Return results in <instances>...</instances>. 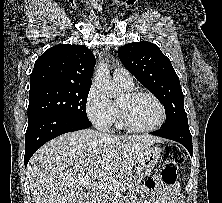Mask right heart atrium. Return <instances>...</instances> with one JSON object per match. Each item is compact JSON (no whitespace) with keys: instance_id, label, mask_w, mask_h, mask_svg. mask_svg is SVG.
<instances>
[{"instance_id":"right-heart-atrium-1","label":"right heart atrium","mask_w":222,"mask_h":203,"mask_svg":"<svg viewBox=\"0 0 222 203\" xmlns=\"http://www.w3.org/2000/svg\"><path fill=\"white\" fill-rule=\"evenodd\" d=\"M86 113L101 130H107L115 120V104L97 87L90 88L86 98Z\"/></svg>"}]
</instances>
